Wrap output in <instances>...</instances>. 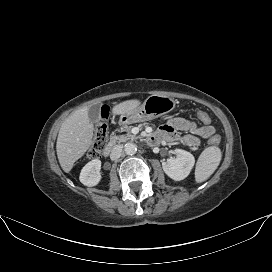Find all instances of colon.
<instances>
[{"label": "colon", "instance_id": "colon-1", "mask_svg": "<svg viewBox=\"0 0 272 272\" xmlns=\"http://www.w3.org/2000/svg\"><path fill=\"white\" fill-rule=\"evenodd\" d=\"M108 116L107 110H103L102 118L103 120L96 126L94 138L92 144L87 152V157L89 159L97 158L101 155L108 139L107 126L105 124V119ZM196 118L204 125L210 123V117L207 113L199 111L196 113ZM220 142V137L215 135L210 138L209 143L212 145L218 144Z\"/></svg>", "mask_w": 272, "mask_h": 272}]
</instances>
